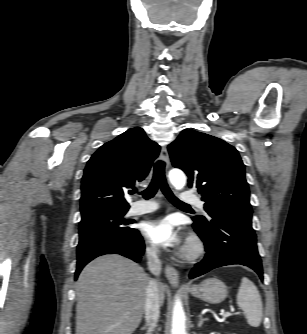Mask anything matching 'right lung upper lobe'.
<instances>
[{
    "mask_svg": "<svg viewBox=\"0 0 307 334\" xmlns=\"http://www.w3.org/2000/svg\"><path fill=\"white\" fill-rule=\"evenodd\" d=\"M160 147L143 129L131 128L101 146L90 158L82 178V216L97 212H127L126 189L149 173Z\"/></svg>",
    "mask_w": 307,
    "mask_h": 334,
    "instance_id": "1",
    "label": "right lung upper lobe"
}]
</instances>
